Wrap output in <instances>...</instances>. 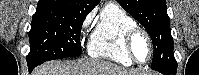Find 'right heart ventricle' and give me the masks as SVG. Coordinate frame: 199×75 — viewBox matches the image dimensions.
Wrapping results in <instances>:
<instances>
[{"label":"right heart ventricle","mask_w":199,"mask_h":75,"mask_svg":"<svg viewBox=\"0 0 199 75\" xmlns=\"http://www.w3.org/2000/svg\"><path fill=\"white\" fill-rule=\"evenodd\" d=\"M136 25L135 19L124 9L108 5L102 11L89 39L88 53L92 57L109 59L123 66H130L125 46V32Z\"/></svg>","instance_id":"obj_1"}]
</instances>
